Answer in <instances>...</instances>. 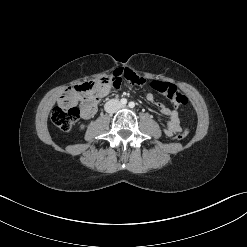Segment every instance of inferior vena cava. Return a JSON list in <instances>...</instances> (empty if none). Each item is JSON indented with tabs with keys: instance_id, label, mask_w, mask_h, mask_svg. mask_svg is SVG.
Here are the masks:
<instances>
[{
	"instance_id": "602c4592",
	"label": "inferior vena cava",
	"mask_w": 247,
	"mask_h": 247,
	"mask_svg": "<svg viewBox=\"0 0 247 247\" xmlns=\"http://www.w3.org/2000/svg\"><path fill=\"white\" fill-rule=\"evenodd\" d=\"M122 107L121 103L116 99H111L105 103L104 109L108 113H115Z\"/></svg>"
}]
</instances>
